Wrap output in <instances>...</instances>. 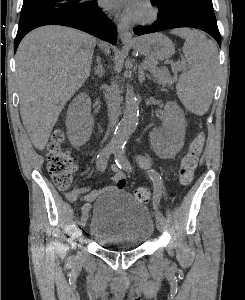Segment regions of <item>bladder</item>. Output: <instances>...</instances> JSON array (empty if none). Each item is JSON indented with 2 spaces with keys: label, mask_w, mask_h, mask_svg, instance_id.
Wrapping results in <instances>:
<instances>
[{
  "label": "bladder",
  "mask_w": 245,
  "mask_h": 300,
  "mask_svg": "<svg viewBox=\"0 0 245 300\" xmlns=\"http://www.w3.org/2000/svg\"><path fill=\"white\" fill-rule=\"evenodd\" d=\"M149 209L128 192L114 189L104 192L92 208L89 237L102 247L134 250L154 233Z\"/></svg>",
  "instance_id": "31cf9c89"
}]
</instances>
